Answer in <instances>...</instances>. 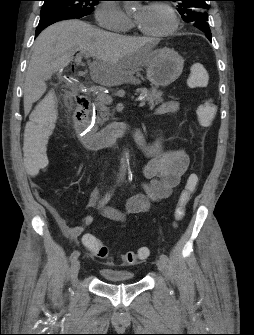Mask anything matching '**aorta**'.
<instances>
[{"label": "aorta", "mask_w": 254, "mask_h": 335, "mask_svg": "<svg viewBox=\"0 0 254 335\" xmlns=\"http://www.w3.org/2000/svg\"><path fill=\"white\" fill-rule=\"evenodd\" d=\"M127 159H128V153L127 151H124L120 161L118 183L123 182L125 179L127 172Z\"/></svg>", "instance_id": "obj_1"}]
</instances>
